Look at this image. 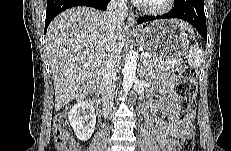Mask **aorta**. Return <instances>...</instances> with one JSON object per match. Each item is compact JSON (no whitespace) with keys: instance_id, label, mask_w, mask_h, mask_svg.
<instances>
[{"instance_id":"aorta-1","label":"aorta","mask_w":231,"mask_h":151,"mask_svg":"<svg viewBox=\"0 0 231 151\" xmlns=\"http://www.w3.org/2000/svg\"><path fill=\"white\" fill-rule=\"evenodd\" d=\"M137 69V52L131 50L125 60L123 68V83L122 87L124 92H128L136 79Z\"/></svg>"}]
</instances>
